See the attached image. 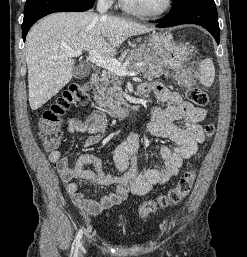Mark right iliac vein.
I'll return each mask as SVG.
<instances>
[{
	"instance_id": "1",
	"label": "right iliac vein",
	"mask_w": 247,
	"mask_h": 257,
	"mask_svg": "<svg viewBox=\"0 0 247 257\" xmlns=\"http://www.w3.org/2000/svg\"><path fill=\"white\" fill-rule=\"evenodd\" d=\"M85 241H83V243H84ZM81 251H83V245L81 246ZM79 257H82V252H80V254H79Z\"/></svg>"
}]
</instances>
